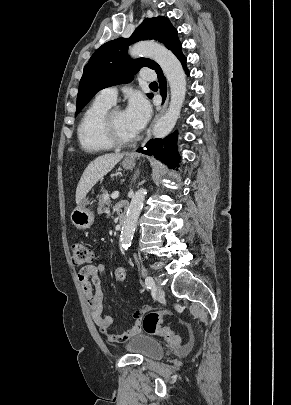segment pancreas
I'll use <instances>...</instances> for the list:
<instances>
[{
    "label": "pancreas",
    "mask_w": 291,
    "mask_h": 405,
    "mask_svg": "<svg viewBox=\"0 0 291 405\" xmlns=\"http://www.w3.org/2000/svg\"><path fill=\"white\" fill-rule=\"evenodd\" d=\"M111 204L110 198L108 197L107 191H103V194L99 196V202H98V208L97 212L98 214H102L107 210ZM107 205V207H106Z\"/></svg>",
    "instance_id": "pancreas-1"
}]
</instances>
